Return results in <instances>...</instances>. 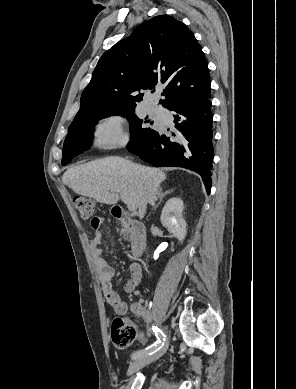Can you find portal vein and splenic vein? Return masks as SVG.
Wrapping results in <instances>:
<instances>
[{"label":"portal vein and splenic vein","instance_id":"1","mask_svg":"<svg viewBox=\"0 0 296 389\" xmlns=\"http://www.w3.org/2000/svg\"><path fill=\"white\" fill-rule=\"evenodd\" d=\"M120 198L122 201L127 205V208L131 211L134 212L136 211L137 207L136 204L132 201H130L124 194L120 193Z\"/></svg>","mask_w":296,"mask_h":389}]
</instances>
